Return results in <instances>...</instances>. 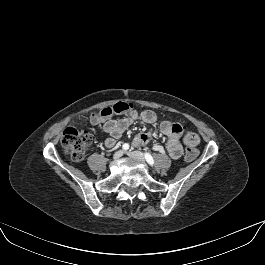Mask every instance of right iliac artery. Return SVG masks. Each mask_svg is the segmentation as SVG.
Segmentation results:
<instances>
[{
	"label": "right iliac artery",
	"instance_id": "obj_1",
	"mask_svg": "<svg viewBox=\"0 0 265 265\" xmlns=\"http://www.w3.org/2000/svg\"><path fill=\"white\" fill-rule=\"evenodd\" d=\"M123 150H128L129 149V144L125 143L122 146Z\"/></svg>",
	"mask_w": 265,
	"mask_h": 265
}]
</instances>
